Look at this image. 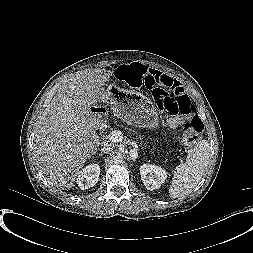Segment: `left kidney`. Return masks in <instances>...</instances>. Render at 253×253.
Instances as JSON below:
<instances>
[{"instance_id":"left-kidney-1","label":"left kidney","mask_w":253,"mask_h":253,"mask_svg":"<svg viewBox=\"0 0 253 253\" xmlns=\"http://www.w3.org/2000/svg\"><path fill=\"white\" fill-rule=\"evenodd\" d=\"M140 175L148 190L158 189L167 178V172L164 169L152 164H143L140 167Z\"/></svg>"}]
</instances>
